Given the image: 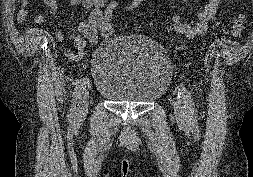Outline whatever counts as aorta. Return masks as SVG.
Listing matches in <instances>:
<instances>
[{
	"label": "aorta",
	"mask_w": 253,
	"mask_h": 177,
	"mask_svg": "<svg viewBox=\"0 0 253 177\" xmlns=\"http://www.w3.org/2000/svg\"><path fill=\"white\" fill-rule=\"evenodd\" d=\"M135 2H137V3H140L142 0H134Z\"/></svg>",
	"instance_id": "obj_1"
}]
</instances>
